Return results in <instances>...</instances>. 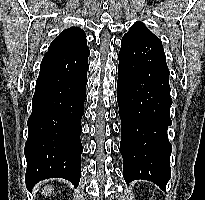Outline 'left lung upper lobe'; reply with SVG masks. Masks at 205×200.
<instances>
[{
  "mask_svg": "<svg viewBox=\"0 0 205 200\" xmlns=\"http://www.w3.org/2000/svg\"><path fill=\"white\" fill-rule=\"evenodd\" d=\"M129 39H158L151 31H149L142 22H135L131 29L123 37Z\"/></svg>",
  "mask_w": 205,
  "mask_h": 200,
  "instance_id": "obj_1",
  "label": "left lung upper lobe"
}]
</instances>
